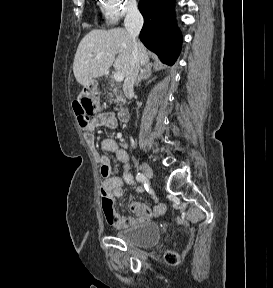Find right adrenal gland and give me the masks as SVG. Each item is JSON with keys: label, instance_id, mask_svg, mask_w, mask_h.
I'll return each instance as SVG.
<instances>
[{"label": "right adrenal gland", "instance_id": "obj_1", "mask_svg": "<svg viewBox=\"0 0 273 288\" xmlns=\"http://www.w3.org/2000/svg\"><path fill=\"white\" fill-rule=\"evenodd\" d=\"M152 75V64L145 65L143 68L140 69V74L138 76V79L135 83V86H138L141 80L149 79Z\"/></svg>", "mask_w": 273, "mask_h": 288}]
</instances>
